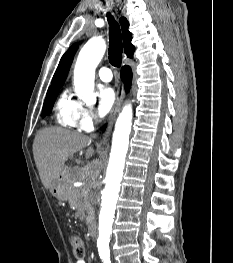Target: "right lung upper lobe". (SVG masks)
I'll return each instance as SVG.
<instances>
[{"label":"right lung upper lobe","instance_id":"cb5924a9","mask_svg":"<svg viewBox=\"0 0 233 263\" xmlns=\"http://www.w3.org/2000/svg\"><path fill=\"white\" fill-rule=\"evenodd\" d=\"M120 24L122 27L124 51L129 58H133L135 47L131 44L132 34L128 31L129 23L125 18H121ZM77 49L78 44H74L62 56L56 72L53 76L52 85L49 87V89L58 88L64 84Z\"/></svg>","mask_w":233,"mask_h":263}]
</instances>
